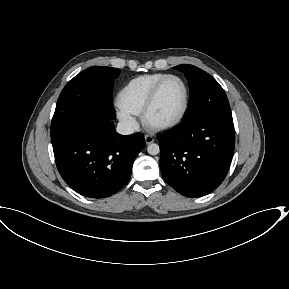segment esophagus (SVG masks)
<instances>
[{
	"instance_id": "34e87169",
	"label": "esophagus",
	"mask_w": 289,
	"mask_h": 289,
	"mask_svg": "<svg viewBox=\"0 0 289 289\" xmlns=\"http://www.w3.org/2000/svg\"><path fill=\"white\" fill-rule=\"evenodd\" d=\"M146 144H151L154 142V138L151 135H145L144 136Z\"/></svg>"
}]
</instances>
